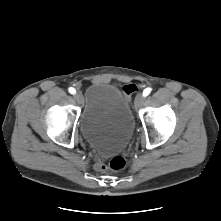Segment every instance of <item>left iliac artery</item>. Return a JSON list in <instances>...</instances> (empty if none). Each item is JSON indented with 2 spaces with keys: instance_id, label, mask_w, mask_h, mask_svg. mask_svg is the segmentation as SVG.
Here are the masks:
<instances>
[{
  "instance_id": "obj_1",
  "label": "left iliac artery",
  "mask_w": 221,
  "mask_h": 221,
  "mask_svg": "<svg viewBox=\"0 0 221 221\" xmlns=\"http://www.w3.org/2000/svg\"><path fill=\"white\" fill-rule=\"evenodd\" d=\"M151 92V88H146L144 91H143V95L146 97L150 94Z\"/></svg>"
}]
</instances>
